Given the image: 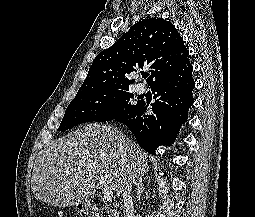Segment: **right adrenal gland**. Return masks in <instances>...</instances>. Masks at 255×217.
I'll return each instance as SVG.
<instances>
[{
	"label": "right adrenal gland",
	"instance_id": "right-adrenal-gland-1",
	"mask_svg": "<svg viewBox=\"0 0 255 217\" xmlns=\"http://www.w3.org/2000/svg\"><path fill=\"white\" fill-rule=\"evenodd\" d=\"M135 185L137 186V190H136V200L140 201L141 198V193L144 190V183H143V176H140L138 178L137 183H135Z\"/></svg>",
	"mask_w": 255,
	"mask_h": 217
}]
</instances>
